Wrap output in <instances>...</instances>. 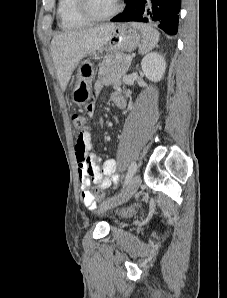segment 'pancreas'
Here are the masks:
<instances>
[{
	"label": "pancreas",
	"instance_id": "pancreas-1",
	"mask_svg": "<svg viewBox=\"0 0 227 298\" xmlns=\"http://www.w3.org/2000/svg\"><path fill=\"white\" fill-rule=\"evenodd\" d=\"M126 54L115 53L104 57L103 61L99 64L98 76H103L107 73H118L125 75L131 65V61H127Z\"/></svg>",
	"mask_w": 227,
	"mask_h": 298
}]
</instances>
